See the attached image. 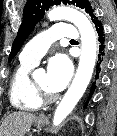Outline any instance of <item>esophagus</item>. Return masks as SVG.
I'll return each mask as SVG.
<instances>
[{"mask_svg":"<svg viewBox=\"0 0 117 136\" xmlns=\"http://www.w3.org/2000/svg\"><path fill=\"white\" fill-rule=\"evenodd\" d=\"M45 117H46L45 115H42L40 118H42V119H43V118H45Z\"/></svg>","mask_w":117,"mask_h":136,"instance_id":"34e87169","label":"esophagus"}]
</instances>
